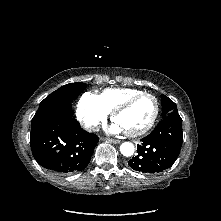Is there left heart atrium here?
<instances>
[{
	"instance_id": "obj_1",
	"label": "left heart atrium",
	"mask_w": 221,
	"mask_h": 221,
	"mask_svg": "<svg viewBox=\"0 0 221 221\" xmlns=\"http://www.w3.org/2000/svg\"><path fill=\"white\" fill-rule=\"evenodd\" d=\"M110 131L112 133L118 134L124 132L125 130L122 128V126L119 123L115 122L114 124L111 125Z\"/></svg>"
}]
</instances>
